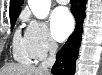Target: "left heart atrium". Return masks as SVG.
Returning a JSON list of instances; mask_svg holds the SVG:
<instances>
[{
	"instance_id": "left-heart-atrium-1",
	"label": "left heart atrium",
	"mask_w": 102,
	"mask_h": 75,
	"mask_svg": "<svg viewBox=\"0 0 102 75\" xmlns=\"http://www.w3.org/2000/svg\"><path fill=\"white\" fill-rule=\"evenodd\" d=\"M74 28V20L66 7H58L51 16V33L53 38L64 41Z\"/></svg>"
}]
</instances>
